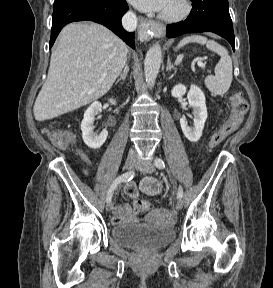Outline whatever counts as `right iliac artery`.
<instances>
[{
  "label": "right iliac artery",
  "mask_w": 273,
  "mask_h": 288,
  "mask_svg": "<svg viewBox=\"0 0 273 288\" xmlns=\"http://www.w3.org/2000/svg\"><path fill=\"white\" fill-rule=\"evenodd\" d=\"M135 176V172L134 171H129V172H126L120 176H118L112 183L109 191H108V194H107V197H106V201L107 203L108 202H111L112 200V196H113V193H114V190L117 188V186L119 184H121L122 182H128L130 181L131 179H133V177Z\"/></svg>",
  "instance_id": "obj_1"
}]
</instances>
